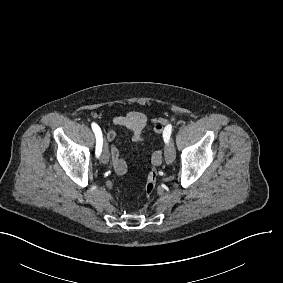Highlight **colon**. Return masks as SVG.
I'll list each match as a JSON object with an SVG mask.
<instances>
[{
	"instance_id": "1",
	"label": "colon",
	"mask_w": 283,
	"mask_h": 283,
	"mask_svg": "<svg viewBox=\"0 0 283 283\" xmlns=\"http://www.w3.org/2000/svg\"><path fill=\"white\" fill-rule=\"evenodd\" d=\"M151 160L156 161L157 158L152 157ZM157 176H158L157 170L154 168H152L148 173L147 182L145 186V195L147 198H151L152 195L154 194L157 184Z\"/></svg>"
}]
</instances>
